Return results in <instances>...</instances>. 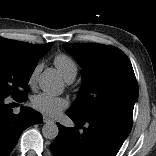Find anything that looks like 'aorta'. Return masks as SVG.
<instances>
[{
	"label": "aorta",
	"instance_id": "1",
	"mask_svg": "<svg viewBox=\"0 0 156 156\" xmlns=\"http://www.w3.org/2000/svg\"><path fill=\"white\" fill-rule=\"evenodd\" d=\"M62 85V81L52 71H44L40 75L39 86L46 93H59L62 90ZM58 133V126L53 121L46 122L42 127V134L46 139L53 140L57 137Z\"/></svg>",
	"mask_w": 156,
	"mask_h": 156
}]
</instances>
